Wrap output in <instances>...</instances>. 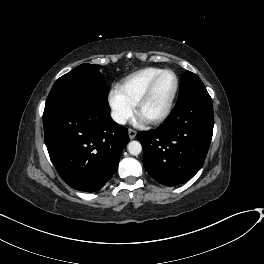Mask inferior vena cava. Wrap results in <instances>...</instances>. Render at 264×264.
<instances>
[{
    "label": "inferior vena cava",
    "instance_id": "obj_1",
    "mask_svg": "<svg viewBox=\"0 0 264 264\" xmlns=\"http://www.w3.org/2000/svg\"><path fill=\"white\" fill-rule=\"evenodd\" d=\"M111 117H112V119L115 121V122H117V123H119V124H125L126 123V117L123 115V114H121V113H119V112H112L111 113Z\"/></svg>",
    "mask_w": 264,
    "mask_h": 264
}]
</instances>
